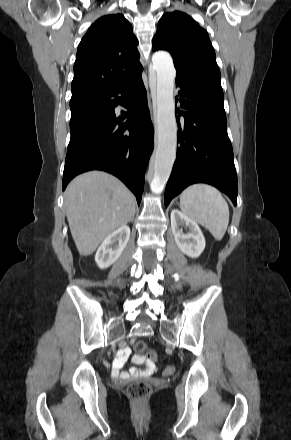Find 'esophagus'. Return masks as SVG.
Returning a JSON list of instances; mask_svg holds the SVG:
<instances>
[{"instance_id": "esophagus-1", "label": "esophagus", "mask_w": 291, "mask_h": 440, "mask_svg": "<svg viewBox=\"0 0 291 440\" xmlns=\"http://www.w3.org/2000/svg\"><path fill=\"white\" fill-rule=\"evenodd\" d=\"M149 106H150V109H151V103H150V101H149Z\"/></svg>"}]
</instances>
